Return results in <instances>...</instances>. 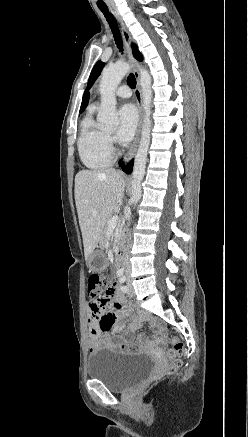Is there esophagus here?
Returning a JSON list of instances; mask_svg holds the SVG:
<instances>
[{
  "mask_svg": "<svg viewBox=\"0 0 248 437\" xmlns=\"http://www.w3.org/2000/svg\"><path fill=\"white\" fill-rule=\"evenodd\" d=\"M115 15H116V18L120 24L121 32H122L123 39H124V42H125V45H126V48L128 51L129 59L133 65L134 76L136 79L135 98H136V102H137V106H138V110H139V124H138V129L136 132V136H135V139H134L130 149L128 150V152L126 153V155L124 156V159H123L124 163L127 164L131 160V158L134 156V154L137 150V147H138L139 139H140V132H141V128H142L143 99H142V92H141V86H140V73H139V69H138V62L133 57L132 49H131L132 38H131L130 32L128 31L121 16L118 13H116Z\"/></svg>",
  "mask_w": 248,
  "mask_h": 437,
  "instance_id": "34e87169",
  "label": "esophagus"
}]
</instances>
